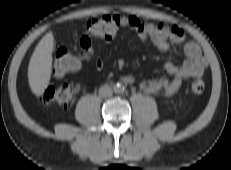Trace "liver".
I'll return each mask as SVG.
<instances>
[{
	"instance_id": "1",
	"label": "liver",
	"mask_w": 231,
	"mask_h": 170,
	"mask_svg": "<svg viewBox=\"0 0 231 170\" xmlns=\"http://www.w3.org/2000/svg\"><path fill=\"white\" fill-rule=\"evenodd\" d=\"M54 36L48 32L37 44L28 66V82L32 92L41 96L47 89L52 73Z\"/></svg>"
}]
</instances>
